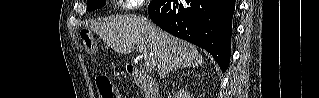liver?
<instances>
[{
  "label": "liver",
  "instance_id": "1",
  "mask_svg": "<svg viewBox=\"0 0 319 98\" xmlns=\"http://www.w3.org/2000/svg\"><path fill=\"white\" fill-rule=\"evenodd\" d=\"M90 29L119 53L130 54L137 46H143L152 54L161 77L179 68L204 64L195 46L164 32L144 17L120 15L93 22Z\"/></svg>",
  "mask_w": 319,
  "mask_h": 98
}]
</instances>
